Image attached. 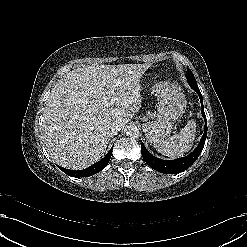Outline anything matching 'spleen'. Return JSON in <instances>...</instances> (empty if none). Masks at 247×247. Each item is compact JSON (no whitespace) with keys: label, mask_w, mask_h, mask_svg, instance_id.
Instances as JSON below:
<instances>
[{"label":"spleen","mask_w":247,"mask_h":247,"mask_svg":"<svg viewBox=\"0 0 247 247\" xmlns=\"http://www.w3.org/2000/svg\"><path fill=\"white\" fill-rule=\"evenodd\" d=\"M196 134V122L189 120L186 126L178 133L166 140L154 143L156 150L164 156L179 158L190 151Z\"/></svg>","instance_id":"obj_1"}]
</instances>
